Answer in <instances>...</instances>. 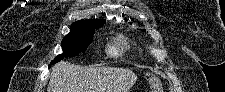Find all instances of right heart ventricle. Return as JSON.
Segmentation results:
<instances>
[{"label": "right heart ventricle", "instance_id": "obj_1", "mask_svg": "<svg viewBox=\"0 0 225 92\" xmlns=\"http://www.w3.org/2000/svg\"><path fill=\"white\" fill-rule=\"evenodd\" d=\"M129 48L128 41L123 36H120L114 43L108 45L107 53L112 58H118L124 56Z\"/></svg>", "mask_w": 225, "mask_h": 92}]
</instances>
